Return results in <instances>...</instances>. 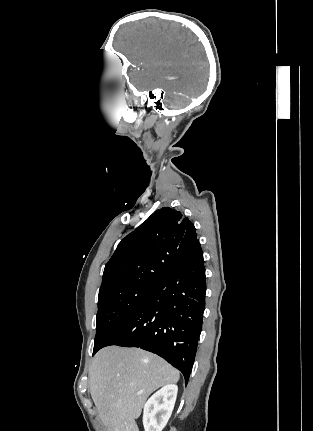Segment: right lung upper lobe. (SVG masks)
Instances as JSON below:
<instances>
[{
    "label": "right lung upper lobe",
    "instance_id": "obj_1",
    "mask_svg": "<svg viewBox=\"0 0 313 431\" xmlns=\"http://www.w3.org/2000/svg\"><path fill=\"white\" fill-rule=\"evenodd\" d=\"M198 240L193 223L170 207L156 210L127 235L105 266L99 297L134 287L157 286Z\"/></svg>",
    "mask_w": 313,
    "mask_h": 431
}]
</instances>
